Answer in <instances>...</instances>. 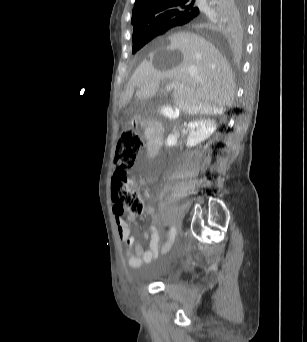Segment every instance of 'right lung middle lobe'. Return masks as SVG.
Returning a JSON list of instances; mask_svg holds the SVG:
<instances>
[{"instance_id": "obj_1", "label": "right lung middle lobe", "mask_w": 307, "mask_h": 342, "mask_svg": "<svg viewBox=\"0 0 307 342\" xmlns=\"http://www.w3.org/2000/svg\"><path fill=\"white\" fill-rule=\"evenodd\" d=\"M165 31H150V32H144L135 34L132 37L133 40V48L132 53H136L139 49H141L145 44H147L150 40L155 38L158 35L163 34Z\"/></svg>"}]
</instances>
